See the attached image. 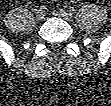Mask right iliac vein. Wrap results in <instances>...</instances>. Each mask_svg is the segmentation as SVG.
<instances>
[{
	"label": "right iliac vein",
	"instance_id": "63e3f726",
	"mask_svg": "<svg viewBox=\"0 0 111 106\" xmlns=\"http://www.w3.org/2000/svg\"><path fill=\"white\" fill-rule=\"evenodd\" d=\"M44 16H45V15H44V12H42V11L39 10V11L36 13V17H35V18H36L37 21H42V20L44 19Z\"/></svg>",
	"mask_w": 111,
	"mask_h": 106
}]
</instances>
